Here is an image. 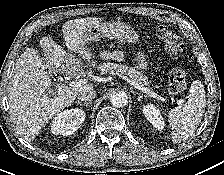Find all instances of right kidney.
I'll return each instance as SVG.
<instances>
[{"instance_id": "ca27d5eb", "label": "right kidney", "mask_w": 224, "mask_h": 175, "mask_svg": "<svg viewBox=\"0 0 224 175\" xmlns=\"http://www.w3.org/2000/svg\"><path fill=\"white\" fill-rule=\"evenodd\" d=\"M85 120V112L82 109H69L57 114L53 118L51 132L56 135L69 136L77 131Z\"/></svg>"}]
</instances>
